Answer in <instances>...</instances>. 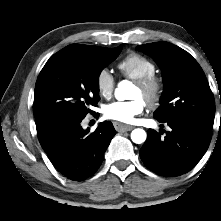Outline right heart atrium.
<instances>
[{"instance_id": "obj_1", "label": "right heart atrium", "mask_w": 221, "mask_h": 221, "mask_svg": "<svg viewBox=\"0 0 221 221\" xmlns=\"http://www.w3.org/2000/svg\"><path fill=\"white\" fill-rule=\"evenodd\" d=\"M96 86L102 97L109 98L113 94L115 79L108 69L103 68L98 72L96 76Z\"/></svg>"}]
</instances>
